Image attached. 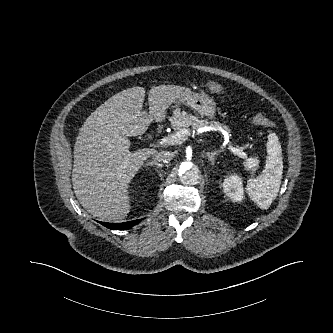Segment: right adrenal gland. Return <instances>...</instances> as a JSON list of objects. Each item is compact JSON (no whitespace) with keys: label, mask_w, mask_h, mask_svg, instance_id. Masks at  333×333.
Listing matches in <instances>:
<instances>
[{"label":"right adrenal gland","mask_w":333,"mask_h":333,"mask_svg":"<svg viewBox=\"0 0 333 333\" xmlns=\"http://www.w3.org/2000/svg\"><path fill=\"white\" fill-rule=\"evenodd\" d=\"M146 165H155L157 167H162V164L157 163V162H148Z\"/></svg>","instance_id":"right-adrenal-gland-1"}]
</instances>
